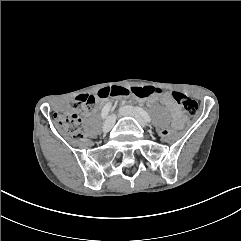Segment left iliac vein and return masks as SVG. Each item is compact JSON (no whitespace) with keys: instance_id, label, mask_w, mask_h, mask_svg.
Here are the masks:
<instances>
[{"instance_id":"1","label":"left iliac vein","mask_w":241,"mask_h":241,"mask_svg":"<svg viewBox=\"0 0 241 241\" xmlns=\"http://www.w3.org/2000/svg\"><path fill=\"white\" fill-rule=\"evenodd\" d=\"M120 115L133 117L137 122L143 127L146 128V123L140 113L132 106H124L119 110Z\"/></svg>"}]
</instances>
